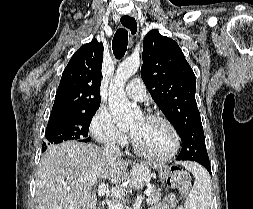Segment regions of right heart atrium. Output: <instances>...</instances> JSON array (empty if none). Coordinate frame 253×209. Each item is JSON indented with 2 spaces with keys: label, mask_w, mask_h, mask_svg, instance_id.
Here are the masks:
<instances>
[{
  "label": "right heart atrium",
  "mask_w": 253,
  "mask_h": 209,
  "mask_svg": "<svg viewBox=\"0 0 253 209\" xmlns=\"http://www.w3.org/2000/svg\"><path fill=\"white\" fill-rule=\"evenodd\" d=\"M90 132L93 138L104 145H124L127 137L114 123L110 113L100 108L93 116L90 124Z\"/></svg>",
  "instance_id": "1"
}]
</instances>
